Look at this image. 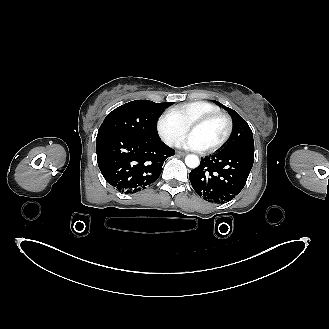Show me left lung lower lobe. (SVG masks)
Here are the masks:
<instances>
[{"instance_id": "obj_1", "label": "left lung lower lobe", "mask_w": 329, "mask_h": 329, "mask_svg": "<svg viewBox=\"0 0 329 329\" xmlns=\"http://www.w3.org/2000/svg\"><path fill=\"white\" fill-rule=\"evenodd\" d=\"M254 151L233 150L201 158L189 174L196 193L204 200L224 203L236 197L246 184Z\"/></svg>"}]
</instances>
